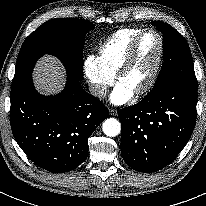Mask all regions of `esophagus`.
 <instances>
[{"label": "esophagus", "mask_w": 206, "mask_h": 206, "mask_svg": "<svg viewBox=\"0 0 206 206\" xmlns=\"http://www.w3.org/2000/svg\"><path fill=\"white\" fill-rule=\"evenodd\" d=\"M109 113H110V115H112V116H116L117 113H118V111H117L116 109L111 108V109H109Z\"/></svg>", "instance_id": "34e87169"}]
</instances>
